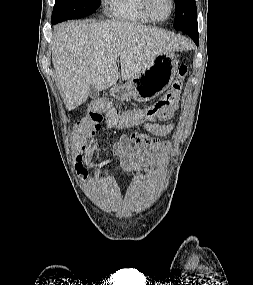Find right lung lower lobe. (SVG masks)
Instances as JSON below:
<instances>
[{"label":"right lung lower lobe","instance_id":"right-lung-lower-lobe-1","mask_svg":"<svg viewBox=\"0 0 253 285\" xmlns=\"http://www.w3.org/2000/svg\"><path fill=\"white\" fill-rule=\"evenodd\" d=\"M52 23H53V24H56V23H58V21H56V20H52Z\"/></svg>","mask_w":253,"mask_h":285}]
</instances>
